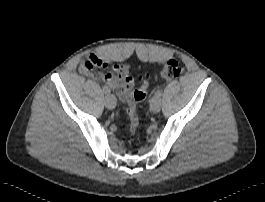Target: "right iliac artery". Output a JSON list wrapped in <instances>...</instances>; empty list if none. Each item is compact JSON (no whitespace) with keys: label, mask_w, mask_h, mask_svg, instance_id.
Returning a JSON list of instances; mask_svg holds the SVG:
<instances>
[{"label":"right iliac artery","mask_w":265,"mask_h":202,"mask_svg":"<svg viewBox=\"0 0 265 202\" xmlns=\"http://www.w3.org/2000/svg\"><path fill=\"white\" fill-rule=\"evenodd\" d=\"M102 91H103L105 94H107V95L110 94V90H109V88H108L107 86H103V87H102Z\"/></svg>","instance_id":"right-iliac-artery-1"}]
</instances>
